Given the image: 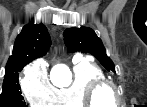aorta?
I'll use <instances>...</instances> for the list:
<instances>
[{
  "mask_svg": "<svg viewBox=\"0 0 147 107\" xmlns=\"http://www.w3.org/2000/svg\"><path fill=\"white\" fill-rule=\"evenodd\" d=\"M55 69L60 70L64 74V83H68L69 78H68V69H67V67L65 65L60 64V65L55 66L54 70Z\"/></svg>",
  "mask_w": 147,
  "mask_h": 107,
  "instance_id": "aorta-1",
  "label": "aorta"
}]
</instances>
